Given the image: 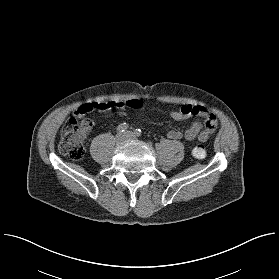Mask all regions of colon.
Listing matches in <instances>:
<instances>
[{"label": "colon", "instance_id": "obj_1", "mask_svg": "<svg viewBox=\"0 0 279 279\" xmlns=\"http://www.w3.org/2000/svg\"><path fill=\"white\" fill-rule=\"evenodd\" d=\"M126 105L131 108H140L139 100H128ZM94 125L92 119L69 118L62 126L59 152L73 160H80L85 154L84 139L86 134ZM205 139V136L202 137ZM206 154L205 148L201 145L192 149V155L196 158H203Z\"/></svg>", "mask_w": 279, "mask_h": 279}]
</instances>
